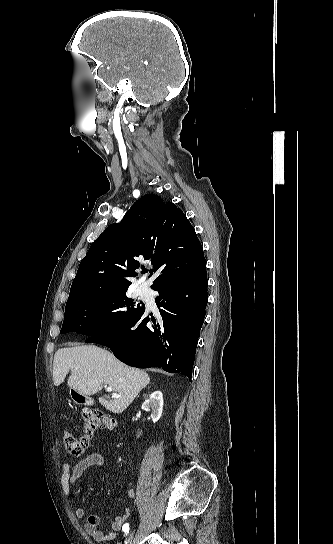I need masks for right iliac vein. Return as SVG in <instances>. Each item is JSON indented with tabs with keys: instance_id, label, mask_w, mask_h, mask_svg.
Returning a JSON list of instances; mask_svg holds the SVG:
<instances>
[{
	"instance_id": "1",
	"label": "right iliac vein",
	"mask_w": 333,
	"mask_h": 544,
	"mask_svg": "<svg viewBox=\"0 0 333 544\" xmlns=\"http://www.w3.org/2000/svg\"><path fill=\"white\" fill-rule=\"evenodd\" d=\"M133 536H134V530L130 533L128 541L126 542V544H132Z\"/></svg>"
}]
</instances>
